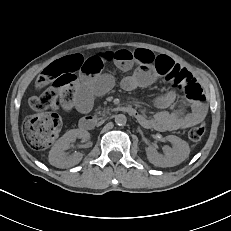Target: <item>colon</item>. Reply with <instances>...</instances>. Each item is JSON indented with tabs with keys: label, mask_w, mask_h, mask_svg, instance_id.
Masks as SVG:
<instances>
[{
	"label": "colon",
	"mask_w": 231,
	"mask_h": 231,
	"mask_svg": "<svg viewBox=\"0 0 231 231\" xmlns=\"http://www.w3.org/2000/svg\"><path fill=\"white\" fill-rule=\"evenodd\" d=\"M74 80V74L69 66L60 61L49 65L37 78L35 85L41 92L33 95L29 99V104L31 108L40 113L29 117L24 125V136L31 148L46 149L58 136L61 128L60 117L53 112H45V110L53 109L60 101L72 98ZM170 82L190 99L202 100L204 98L199 84L185 70L173 72ZM204 133V126H195L188 131V138L191 141H199Z\"/></svg>",
	"instance_id": "1"
}]
</instances>
